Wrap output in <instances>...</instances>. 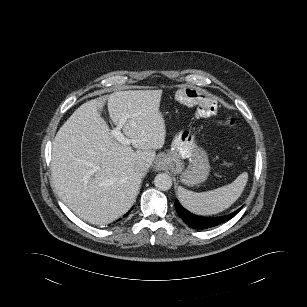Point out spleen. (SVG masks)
I'll list each match as a JSON object with an SVG mask.
<instances>
[{
  "label": "spleen",
  "instance_id": "obj_1",
  "mask_svg": "<svg viewBox=\"0 0 307 307\" xmlns=\"http://www.w3.org/2000/svg\"><path fill=\"white\" fill-rule=\"evenodd\" d=\"M248 180V173L243 172L232 183L212 191L195 193L178 188V198L181 204L196 215H212L230 207L242 194Z\"/></svg>",
  "mask_w": 307,
  "mask_h": 307
}]
</instances>
